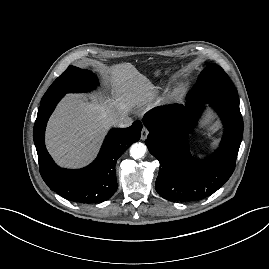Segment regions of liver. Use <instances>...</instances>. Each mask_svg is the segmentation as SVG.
<instances>
[{
	"instance_id": "obj_1",
	"label": "liver",
	"mask_w": 269,
	"mask_h": 269,
	"mask_svg": "<svg viewBox=\"0 0 269 269\" xmlns=\"http://www.w3.org/2000/svg\"><path fill=\"white\" fill-rule=\"evenodd\" d=\"M115 99L67 95L50 118L46 145L55 161L64 167L78 168L97 154L105 132L135 106L146 104L155 95L151 82L131 64H116L107 69Z\"/></svg>"
}]
</instances>
